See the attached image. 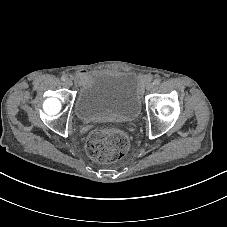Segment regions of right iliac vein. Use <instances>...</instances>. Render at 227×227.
Returning a JSON list of instances; mask_svg holds the SVG:
<instances>
[{"label":"right iliac vein","mask_w":227,"mask_h":227,"mask_svg":"<svg viewBox=\"0 0 227 227\" xmlns=\"http://www.w3.org/2000/svg\"><path fill=\"white\" fill-rule=\"evenodd\" d=\"M72 84H73V82H72V80L71 79H68L67 81H66V85L67 86H72Z\"/></svg>","instance_id":"right-iliac-vein-1"}]
</instances>
